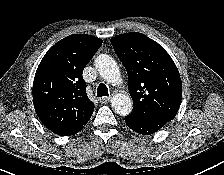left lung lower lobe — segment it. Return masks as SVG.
I'll list each match as a JSON object with an SVG mask.
<instances>
[{
    "instance_id": "obj_1",
    "label": "left lung lower lobe",
    "mask_w": 224,
    "mask_h": 175,
    "mask_svg": "<svg viewBox=\"0 0 224 175\" xmlns=\"http://www.w3.org/2000/svg\"><path fill=\"white\" fill-rule=\"evenodd\" d=\"M125 122L129 128L142 135H149L157 132L166 123L161 121L145 122L125 117Z\"/></svg>"
}]
</instances>
